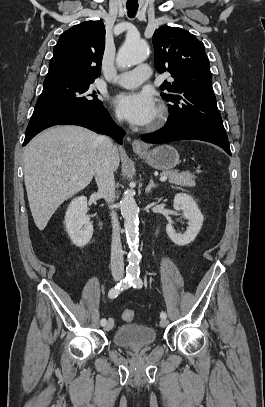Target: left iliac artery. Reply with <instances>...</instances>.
<instances>
[{
	"label": "left iliac artery",
	"instance_id": "1",
	"mask_svg": "<svg viewBox=\"0 0 265 407\" xmlns=\"http://www.w3.org/2000/svg\"><path fill=\"white\" fill-rule=\"evenodd\" d=\"M131 285L133 286V288H141L143 285L141 278H139V276H137L136 278H131ZM160 317L161 319H166L167 315L165 312H161Z\"/></svg>",
	"mask_w": 265,
	"mask_h": 407
}]
</instances>
